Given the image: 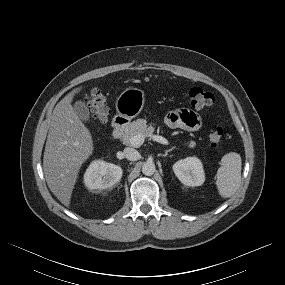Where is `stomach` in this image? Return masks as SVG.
I'll return each instance as SVG.
<instances>
[{"label": "stomach", "mask_w": 285, "mask_h": 285, "mask_svg": "<svg viewBox=\"0 0 285 285\" xmlns=\"http://www.w3.org/2000/svg\"><path fill=\"white\" fill-rule=\"evenodd\" d=\"M145 95L140 89L126 88L117 98L116 110L119 117L130 121L140 114L144 107Z\"/></svg>", "instance_id": "0dacf381"}]
</instances>
